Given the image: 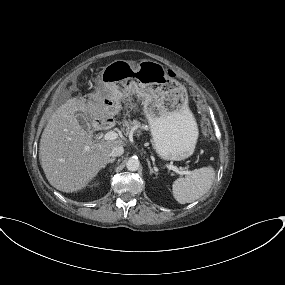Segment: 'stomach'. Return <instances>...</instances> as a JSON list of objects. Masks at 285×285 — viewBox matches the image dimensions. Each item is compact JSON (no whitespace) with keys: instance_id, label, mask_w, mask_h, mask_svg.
<instances>
[{"instance_id":"0dacf381","label":"stomach","mask_w":285,"mask_h":285,"mask_svg":"<svg viewBox=\"0 0 285 285\" xmlns=\"http://www.w3.org/2000/svg\"><path fill=\"white\" fill-rule=\"evenodd\" d=\"M101 81L109 91H117L122 98L136 93L143 99L153 148L161 159L180 161L193 154L198 128L188 105L187 91L168 76L163 65L152 60H142L138 64L116 60L103 68ZM121 100L106 96L102 121L120 112Z\"/></svg>"}]
</instances>
